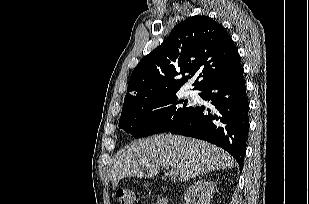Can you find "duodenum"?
I'll use <instances>...</instances> for the list:
<instances>
[{
  "label": "duodenum",
  "mask_w": 309,
  "mask_h": 204,
  "mask_svg": "<svg viewBox=\"0 0 309 204\" xmlns=\"http://www.w3.org/2000/svg\"><path fill=\"white\" fill-rule=\"evenodd\" d=\"M156 204H165V203H164V200L162 198H160V199L157 200Z\"/></svg>",
  "instance_id": "duodenum-1"
}]
</instances>
